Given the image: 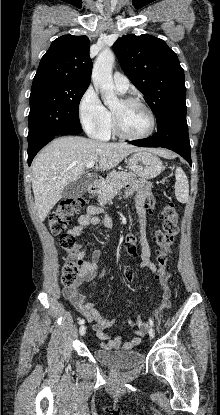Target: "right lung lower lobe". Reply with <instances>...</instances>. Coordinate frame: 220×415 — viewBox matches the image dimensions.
<instances>
[{"mask_svg":"<svg viewBox=\"0 0 220 415\" xmlns=\"http://www.w3.org/2000/svg\"><path fill=\"white\" fill-rule=\"evenodd\" d=\"M82 132V129L77 131L76 134H79ZM53 139V137H49L46 138L45 140H43L42 142H40L34 149H32L31 151H28V165H31V162L33 160V158L35 157V155L38 153V151L43 148L46 144H48L51 140Z\"/></svg>","mask_w":220,"mask_h":415,"instance_id":"obj_1","label":"right lung lower lobe"}]
</instances>
